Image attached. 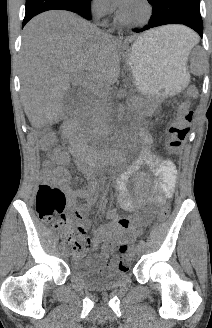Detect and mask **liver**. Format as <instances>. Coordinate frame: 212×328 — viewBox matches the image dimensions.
I'll use <instances>...</instances> for the list:
<instances>
[{
  "instance_id": "1",
  "label": "liver",
  "mask_w": 212,
  "mask_h": 328,
  "mask_svg": "<svg viewBox=\"0 0 212 328\" xmlns=\"http://www.w3.org/2000/svg\"><path fill=\"white\" fill-rule=\"evenodd\" d=\"M143 35L168 40L183 49L193 32L177 25ZM197 37V36H196ZM121 43L68 11L52 10L34 17L23 31L20 52L21 98L31 125L42 128L64 113L63 97L73 75L100 95L117 79Z\"/></svg>"
}]
</instances>
